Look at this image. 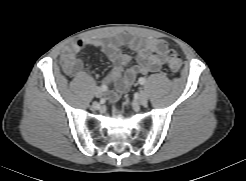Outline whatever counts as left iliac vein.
<instances>
[{
    "label": "left iliac vein",
    "mask_w": 246,
    "mask_h": 181,
    "mask_svg": "<svg viewBox=\"0 0 246 181\" xmlns=\"http://www.w3.org/2000/svg\"><path fill=\"white\" fill-rule=\"evenodd\" d=\"M138 101L141 104H146L148 101V96L145 91H141L138 96Z\"/></svg>",
    "instance_id": "obj_1"
}]
</instances>
